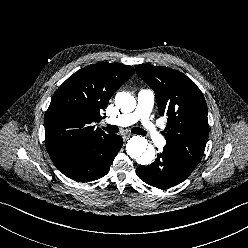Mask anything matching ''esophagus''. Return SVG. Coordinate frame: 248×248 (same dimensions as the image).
<instances>
[{
    "label": "esophagus",
    "instance_id": "1",
    "mask_svg": "<svg viewBox=\"0 0 248 248\" xmlns=\"http://www.w3.org/2000/svg\"><path fill=\"white\" fill-rule=\"evenodd\" d=\"M131 136H132V134L124 133V134H123V139H124V140H127V139H129Z\"/></svg>",
    "mask_w": 248,
    "mask_h": 248
}]
</instances>
